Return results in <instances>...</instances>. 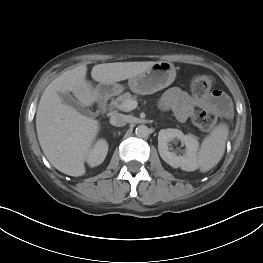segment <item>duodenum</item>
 Wrapping results in <instances>:
<instances>
[{
    "label": "duodenum",
    "instance_id": "410a0bca",
    "mask_svg": "<svg viewBox=\"0 0 263 263\" xmlns=\"http://www.w3.org/2000/svg\"><path fill=\"white\" fill-rule=\"evenodd\" d=\"M99 109L101 111H104L106 107V98L104 96H100L99 102H98Z\"/></svg>",
    "mask_w": 263,
    "mask_h": 263
}]
</instances>
